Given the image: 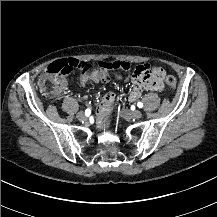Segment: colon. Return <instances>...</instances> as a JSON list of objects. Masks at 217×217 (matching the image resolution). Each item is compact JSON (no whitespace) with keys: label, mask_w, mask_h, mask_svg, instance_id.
I'll use <instances>...</instances> for the list:
<instances>
[{"label":"colon","mask_w":217,"mask_h":217,"mask_svg":"<svg viewBox=\"0 0 217 217\" xmlns=\"http://www.w3.org/2000/svg\"><path fill=\"white\" fill-rule=\"evenodd\" d=\"M103 69L108 71H127L131 68L125 60H100L95 63L81 62L75 56L52 63L39 81L40 91L46 97L60 95L65 87L62 74H69L74 71L88 73L91 69ZM165 70L158 66L138 65L134 69L135 84H140L148 89H157L162 86V79ZM167 87L170 91L176 88V78L168 77Z\"/></svg>","instance_id":"5ec220e1"}]
</instances>
